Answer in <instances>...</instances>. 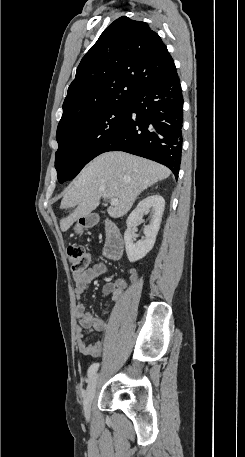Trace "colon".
I'll use <instances>...</instances> for the list:
<instances>
[{
	"label": "colon",
	"mask_w": 245,
	"mask_h": 457,
	"mask_svg": "<svg viewBox=\"0 0 245 457\" xmlns=\"http://www.w3.org/2000/svg\"><path fill=\"white\" fill-rule=\"evenodd\" d=\"M67 255L74 271H83L89 263L87 250L82 245H70L67 248Z\"/></svg>",
	"instance_id": "colon-1"
}]
</instances>
